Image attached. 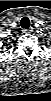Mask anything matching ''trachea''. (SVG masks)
Masks as SVG:
<instances>
[{"label":"trachea","instance_id":"obj_1","mask_svg":"<svg viewBox=\"0 0 51 101\" xmlns=\"http://www.w3.org/2000/svg\"><path fill=\"white\" fill-rule=\"evenodd\" d=\"M20 25L24 29H28L30 26V20L28 17H23L20 21Z\"/></svg>","mask_w":51,"mask_h":101}]
</instances>
